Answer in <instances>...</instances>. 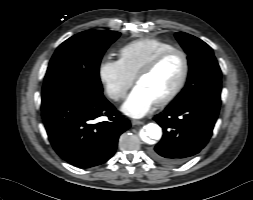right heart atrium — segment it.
<instances>
[{"label": "right heart atrium", "instance_id": "right-heart-atrium-1", "mask_svg": "<svg viewBox=\"0 0 253 200\" xmlns=\"http://www.w3.org/2000/svg\"><path fill=\"white\" fill-rule=\"evenodd\" d=\"M98 77L106 95L114 101L126 96L133 78L127 74L119 60L103 58L98 66Z\"/></svg>", "mask_w": 253, "mask_h": 200}]
</instances>
